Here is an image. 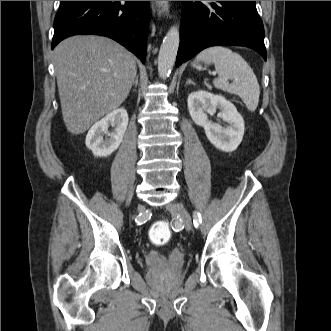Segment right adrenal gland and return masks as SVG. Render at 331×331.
<instances>
[{
    "label": "right adrenal gland",
    "mask_w": 331,
    "mask_h": 331,
    "mask_svg": "<svg viewBox=\"0 0 331 331\" xmlns=\"http://www.w3.org/2000/svg\"><path fill=\"white\" fill-rule=\"evenodd\" d=\"M133 85H134L135 87H137V85H138V76L135 78V80H134V82H133Z\"/></svg>",
    "instance_id": "1"
}]
</instances>
